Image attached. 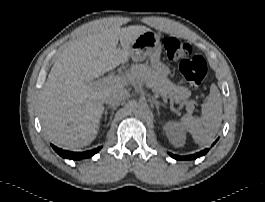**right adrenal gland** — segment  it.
<instances>
[{"label": "right adrenal gland", "mask_w": 265, "mask_h": 202, "mask_svg": "<svg viewBox=\"0 0 265 202\" xmlns=\"http://www.w3.org/2000/svg\"><path fill=\"white\" fill-rule=\"evenodd\" d=\"M116 109H117V106H108V107L105 109V111H104V114H105V120L107 119L108 110H111L109 123H110V121L112 120V117H113L114 111H115Z\"/></svg>", "instance_id": "1"}]
</instances>
